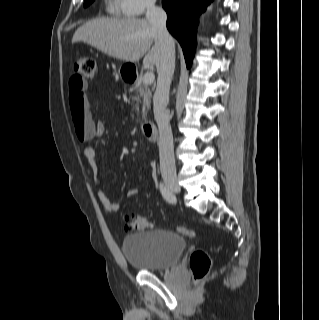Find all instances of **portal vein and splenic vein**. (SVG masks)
<instances>
[{"label":"portal vein and splenic vein","instance_id":"1","mask_svg":"<svg viewBox=\"0 0 319 320\" xmlns=\"http://www.w3.org/2000/svg\"><path fill=\"white\" fill-rule=\"evenodd\" d=\"M154 79H155L154 73L147 72V73H145V75L143 77V83L145 85L152 84L154 82Z\"/></svg>","mask_w":319,"mask_h":320}]
</instances>
